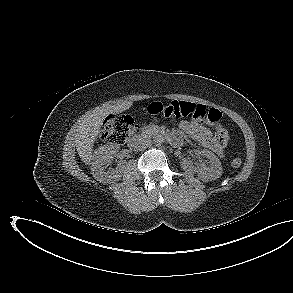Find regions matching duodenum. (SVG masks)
<instances>
[{
    "label": "duodenum",
    "mask_w": 293,
    "mask_h": 293,
    "mask_svg": "<svg viewBox=\"0 0 293 293\" xmlns=\"http://www.w3.org/2000/svg\"><path fill=\"white\" fill-rule=\"evenodd\" d=\"M158 133L162 134L165 138H167L169 140V142L171 144H173L174 146L179 145L180 140L179 137L172 134V133H168L165 131H158ZM145 136L144 135H136L134 136L130 141H129V147L130 148H136L139 145H141V143L144 141Z\"/></svg>",
    "instance_id": "obj_1"
}]
</instances>
